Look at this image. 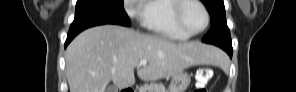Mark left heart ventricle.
I'll list each match as a JSON object with an SVG mask.
<instances>
[{
  "label": "left heart ventricle",
  "mask_w": 296,
  "mask_h": 92,
  "mask_svg": "<svg viewBox=\"0 0 296 92\" xmlns=\"http://www.w3.org/2000/svg\"><path fill=\"white\" fill-rule=\"evenodd\" d=\"M182 20L189 31L196 32L203 28L206 19L202 8L191 2L185 6L182 12Z\"/></svg>",
  "instance_id": "left-heart-ventricle-1"
}]
</instances>
